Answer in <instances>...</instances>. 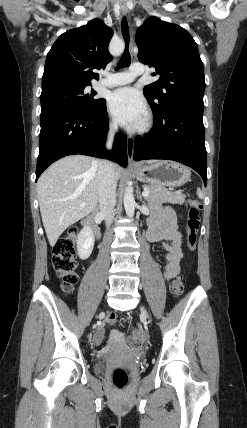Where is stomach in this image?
<instances>
[{
  "label": "stomach",
  "mask_w": 247,
  "mask_h": 428,
  "mask_svg": "<svg viewBox=\"0 0 247 428\" xmlns=\"http://www.w3.org/2000/svg\"><path fill=\"white\" fill-rule=\"evenodd\" d=\"M138 180L151 185L180 187L191 176L188 167L178 162L160 160L149 165H139L134 169Z\"/></svg>",
  "instance_id": "obj_1"
}]
</instances>
